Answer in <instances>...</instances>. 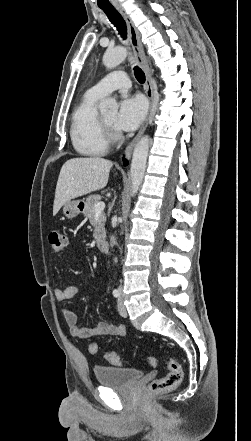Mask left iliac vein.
Masks as SVG:
<instances>
[{
	"mask_svg": "<svg viewBox=\"0 0 251 441\" xmlns=\"http://www.w3.org/2000/svg\"><path fill=\"white\" fill-rule=\"evenodd\" d=\"M118 310H119V313L122 317H127L128 313H127L126 307L123 303L122 294L120 295V297L118 299Z\"/></svg>",
	"mask_w": 251,
	"mask_h": 441,
	"instance_id": "1",
	"label": "left iliac vein"
}]
</instances>
